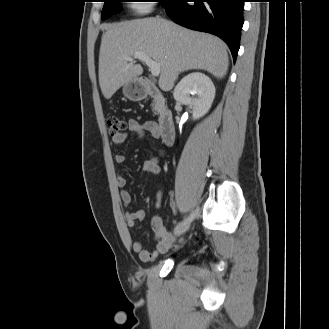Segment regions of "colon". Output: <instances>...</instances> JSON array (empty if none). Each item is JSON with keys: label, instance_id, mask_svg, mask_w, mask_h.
I'll return each mask as SVG.
<instances>
[{"label": "colon", "instance_id": "5ec220e1", "mask_svg": "<svg viewBox=\"0 0 329 329\" xmlns=\"http://www.w3.org/2000/svg\"><path fill=\"white\" fill-rule=\"evenodd\" d=\"M108 127L112 136L119 135L125 131V124L118 117H110L108 119Z\"/></svg>", "mask_w": 329, "mask_h": 329}]
</instances>
